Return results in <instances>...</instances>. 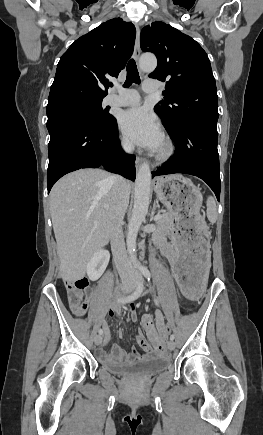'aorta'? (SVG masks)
Listing matches in <instances>:
<instances>
[{
    "label": "aorta",
    "mask_w": 263,
    "mask_h": 435,
    "mask_svg": "<svg viewBox=\"0 0 263 435\" xmlns=\"http://www.w3.org/2000/svg\"><path fill=\"white\" fill-rule=\"evenodd\" d=\"M140 69L144 72H151L157 66V59L154 55H142L139 60ZM151 199V170L149 164L144 162L136 175L134 205L132 215L128 224L127 251L134 261L136 252V239L139 228L145 220Z\"/></svg>",
    "instance_id": "762f6f07"
}]
</instances>
